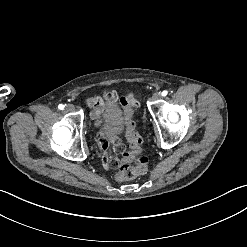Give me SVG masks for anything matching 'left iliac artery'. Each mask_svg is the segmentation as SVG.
I'll use <instances>...</instances> for the list:
<instances>
[{"label": "left iliac artery", "mask_w": 247, "mask_h": 247, "mask_svg": "<svg viewBox=\"0 0 247 247\" xmlns=\"http://www.w3.org/2000/svg\"><path fill=\"white\" fill-rule=\"evenodd\" d=\"M168 94V92L166 90L162 91L161 95L162 96H166Z\"/></svg>", "instance_id": "1"}]
</instances>
